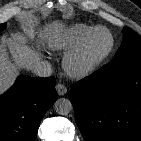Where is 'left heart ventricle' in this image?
Instances as JSON below:
<instances>
[{"instance_id":"b2bd125f","label":"left heart ventricle","mask_w":141,"mask_h":141,"mask_svg":"<svg viewBox=\"0 0 141 141\" xmlns=\"http://www.w3.org/2000/svg\"><path fill=\"white\" fill-rule=\"evenodd\" d=\"M110 42L109 36L104 31L95 33L88 41L83 58L85 60H92L100 56L108 47Z\"/></svg>"}]
</instances>
